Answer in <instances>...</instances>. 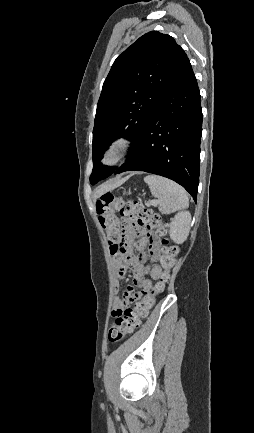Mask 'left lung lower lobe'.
Here are the masks:
<instances>
[{"instance_id":"obj_1","label":"left lung lower lobe","mask_w":254,"mask_h":433,"mask_svg":"<svg viewBox=\"0 0 254 433\" xmlns=\"http://www.w3.org/2000/svg\"><path fill=\"white\" fill-rule=\"evenodd\" d=\"M202 109L189 59L169 85L127 161L114 174L145 171L182 185L196 201Z\"/></svg>"}]
</instances>
